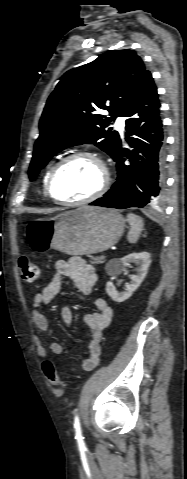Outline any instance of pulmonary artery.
Instances as JSON below:
<instances>
[{"label": "pulmonary artery", "instance_id": "e3ab8cb5", "mask_svg": "<svg viewBox=\"0 0 187 479\" xmlns=\"http://www.w3.org/2000/svg\"><path fill=\"white\" fill-rule=\"evenodd\" d=\"M115 125L119 130L122 131L124 129V126H125L124 119L122 117H118L116 119Z\"/></svg>", "mask_w": 187, "mask_h": 479}]
</instances>
